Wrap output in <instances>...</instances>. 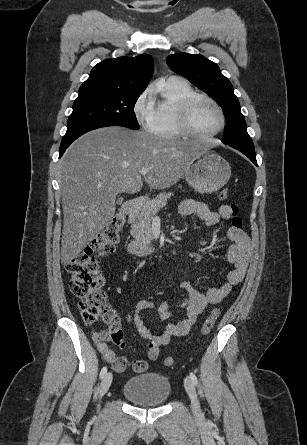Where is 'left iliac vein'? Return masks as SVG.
<instances>
[{"instance_id": "4c4485c4", "label": "left iliac vein", "mask_w": 307, "mask_h": 445, "mask_svg": "<svg viewBox=\"0 0 307 445\" xmlns=\"http://www.w3.org/2000/svg\"><path fill=\"white\" fill-rule=\"evenodd\" d=\"M184 386H185L186 392L189 395V398L191 400V408H192L193 415L197 419H202L203 414H202V411L200 409V405H199V401L197 399L195 387H194V384L191 381V379L185 378L184 379Z\"/></svg>"}]
</instances>
